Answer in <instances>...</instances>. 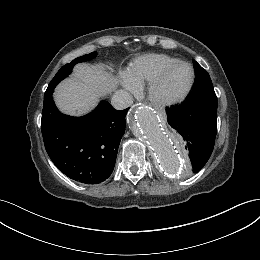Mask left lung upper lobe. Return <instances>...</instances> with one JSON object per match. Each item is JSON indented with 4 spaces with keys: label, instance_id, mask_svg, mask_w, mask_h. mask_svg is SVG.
Masks as SVG:
<instances>
[{
    "label": "left lung upper lobe",
    "instance_id": "1",
    "mask_svg": "<svg viewBox=\"0 0 260 260\" xmlns=\"http://www.w3.org/2000/svg\"><path fill=\"white\" fill-rule=\"evenodd\" d=\"M197 81L190 98L198 99L203 96H216L209 74L197 62H195Z\"/></svg>",
    "mask_w": 260,
    "mask_h": 260
}]
</instances>
